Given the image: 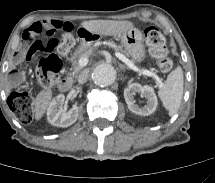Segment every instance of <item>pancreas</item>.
Wrapping results in <instances>:
<instances>
[{
  "label": "pancreas",
  "instance_id": "obj_1",
  "mask_svg": "<svg viewBox=\"0 0 215 183\" xmlns=\"http://www.w3.org/2000/svg\"><path fill=\"white\" fill-rule=\"evenodd\" d=\"M110 47L114 48L116 51L124 53L127 55L126 51L123 50L122 47L117 46L115 44H111ZM93 52V49H88L85 52H82L80 54H77L73 57L72 59V68H71V72L69 73V76L76 78L78 73L82 70V67L79 65V60L83 57H89Z\"/></svg>",
  "mask_w": 215,
  "mask_h": 183
}]
</instances>
